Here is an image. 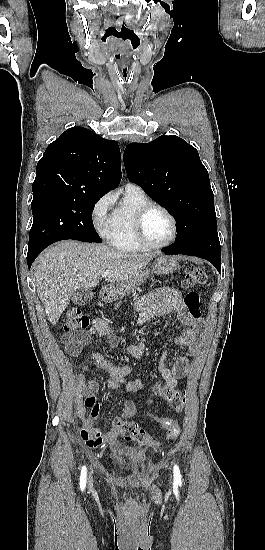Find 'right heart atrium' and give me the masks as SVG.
<instances>
[{"label":"right heart atrium","instance_id":"obj_1","mask_svg":"<svg viewBox=\"0 0 265 550\" xmlns=\"http://www.w3.org/2000/svg\"><path fill=\"white\" fill-rule=\"evenodd\" d=\"M113 204V196L110 193L101 196L92 208V221L95 229L105 236L108 222V212Z\"/></svg>","mask_w":265,"mask_h":550}]
</instances>
